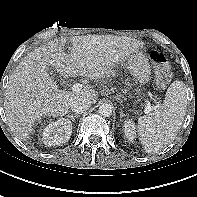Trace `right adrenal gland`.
I'll return each instance as SVG.
<instances>
[{
    "instance_id": "2a0ac1e0",
    "label": "right adrenal gland",
    "mask_w": 197,
    "mask_h": 197,
    "mask_svg": "<svg viewBox=\"0 0 197 197\" xmlns=\"http://www.w3.org/2000/svg\"><path fill=\"white\" fill-rule=\"evenodd\" d=\"M67 116L72 120V122H74L75 119L79 117V115H69V114Z\"/></svg>"
}]
</instances>
